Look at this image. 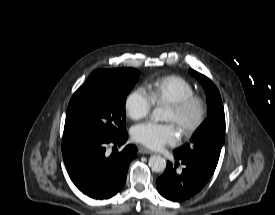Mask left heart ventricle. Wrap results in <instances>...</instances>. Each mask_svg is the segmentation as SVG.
<instances>
[{
  "instance_id": "1",
  "label": "left heart ventricle",
  "mask_w": 275,
  "mask_h": 215,
  "mask_svg": "<svg viewBox=\"0 0 275 215\" xmlns=\"http://www.w3.org/2000/svg\"><path fill=\"white\" fill-rule=\"evenodd\" d=\"M196 112H197V109L194 107V108H191L184 115H178L170 107H167L165 120L175 123L180 128L182 123L191 121L196 115Z\"/></svg>"
}]
</instances>
